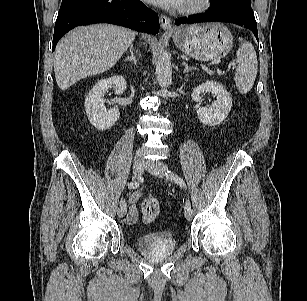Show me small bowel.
Here are the masks:
<instances>
[{
  "instance_id": "obj_1",
  "label": "small bowel",
  "mask_w": 307,
  "mask_h": 301,
  "mask_svg": "<svg viewBox=\"0 0 307 301\" xmlns=\"http://www.w3.org/2000/svg\"><path fill=\"white\" fill-rule=\"evenodd\" d=\"M141 198V193L139 191L133 192L129 197L130 208L127 216V222L133 224L137 221L139 217V209L136 202Z\"/></svg>"
}]
</instances>
